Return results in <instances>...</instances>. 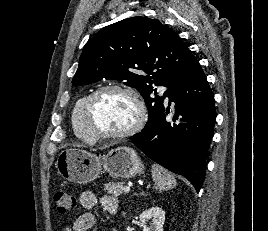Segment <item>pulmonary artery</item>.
<instances>
[{
	"mask_svg": "<svg viewBox=\"0 0 268 231\" xmlns=\"http://www.w3.org/2000/svg\"><path fill=\"white\" fill-rule=\"evenodd\" d=\"M161 91H166V87H162ZM168 98H170V97H168Z\"/></svg>",
	"mask_w": 268,
	"mask_h": 231,
	"instance_id": "pulmonary-artery-1",
	"label": "pulmonary artery"
}]
</instances>
